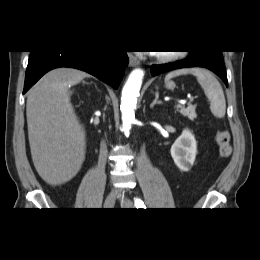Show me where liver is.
<instances>
[{
	"instance_id": "1",
	"label": "liver",
	"mask_w": 260,
	"mask_h": 260,
	"mask_svg": "<svg viewBox=\"0 0 260 260\" xmlns=\"http://www.w3.org/2000/svg\"><path fill=\"white\" fill-rule=\"evenodd\" d=\"M88 76L77 69H54L29 91L26 116L31 156L36 171L50 185L71 180L85 160V132L69 89Z\"/></svg>"
}]
</instances>
